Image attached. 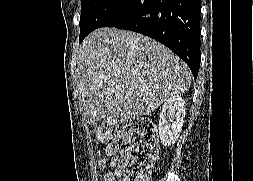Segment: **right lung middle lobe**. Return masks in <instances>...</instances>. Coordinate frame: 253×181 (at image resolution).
<instances>
[{"label":"right lung middle lobe","mask_w":253,"mask_h":181,"mask_svg":"<svg viewBox=\"0 0 253 181\" xmlns=\"http://www.w3.org/2000/svg\"><path fill=\"white\" fill-rule=\"evenodd\" d=\"M128 0H82L80 36L89 34L118 11Z\"/></svg>","instance_id":"dd1d6c3e"}]
</instances>
